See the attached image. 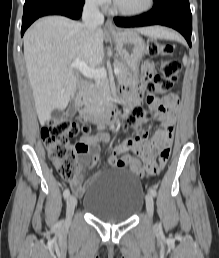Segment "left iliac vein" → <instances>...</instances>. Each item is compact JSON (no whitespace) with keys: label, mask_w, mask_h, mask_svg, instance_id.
Segmentation results:
<instances>
[{"label":"left iliac vein","mask_w":219,"mask_h":258,"mask_svg":"<svg viewBox=\"0 0 219 258\" xmlns=\"http://www.w3.org/2000/svg\"><path fill=\"white\" fill-rule=\"evenodd\" d=\"M145 202H146V211L147 214L149 216V218L151 219L153 216V211H154V200H153V196L151 194H147L145 196Z\"/></svg>","instance_id":"4c4485c4"}]
</instances>
